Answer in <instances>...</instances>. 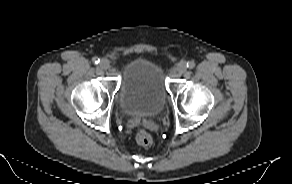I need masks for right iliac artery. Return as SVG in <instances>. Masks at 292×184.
Here are the masks:
<instances>
[{"mask_svg":"<svg viewBox=\"0 0 292 184\" xmlns=\"http://www.w3.org/2000/svg\"><path fill=\"white\" fill-rule=\"evenodd\" d=\"M92 61H93L95 64H99L100 59H99L98 57H94V58L92 59Z\"/></svg>","mask_w":292,"mask_h":184,"instance_id":"obj_1","label":"right iliac artery"}]
</instances>
